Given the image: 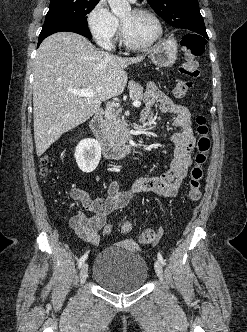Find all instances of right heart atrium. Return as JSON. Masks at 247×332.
I'll list each match as a JSON object with an SVG mask.
<instances>
[{
	"label": "right heart atrium",
	"instance_id": "right-heart-atrium-1",
	"mask_svg": "<svg viewBox=\"0 0 247 332\" xmlns=\"http://www.w3.org/2000/svg\"><path fill=\"white\" fill-rule=\"evenodd\" d=\"M87 26L95 42L111 49L119 31V21L111 13L104 0H99L87 17Z\"/></svg>",
	"mask_w": 247,
	"mask_h": 332
}]
</instances>
